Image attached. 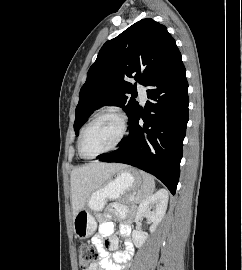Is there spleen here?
<instances>
[{"label": "spleen", "mask_w": 242, "mask_h": 270, "mask_svg": "<svg viewBox=\"0 0 242 270\" xmlns=\"http://www.w3.org/2000/svg\"><path fill=\"white\" fill-rule=\"evenodd\" d=\"M141 175L143 177V185L139 190L136 198L139 202H142L145 198L150 196L155 189L154 178L145 172H141Z\"/></svg>", "instance_id": "obj_1"}]
</instances>
